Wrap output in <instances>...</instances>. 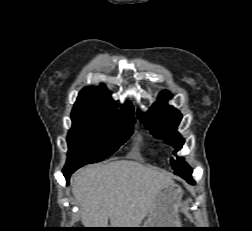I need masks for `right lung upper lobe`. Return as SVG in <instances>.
Segmentation results:
<instances>
[{"instance_id":"1","label":"right lung upper lobe","mask_w":252,"mask_h":231,"mask_svg":"<svg viewBox=\"0 0 252 231\" xmlns=\"http://www.w3.org/2000/svg\"><path fill=\"white\" fill-rule=\"evenodd\" d=\"M114 103V100L109 98L105 85L101 84L100 87L87 86L80 91L72 112L103 113L134 119L133 108L129 101L119 111L115 110Z\"/></svg>"}]
</instances>
